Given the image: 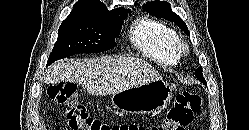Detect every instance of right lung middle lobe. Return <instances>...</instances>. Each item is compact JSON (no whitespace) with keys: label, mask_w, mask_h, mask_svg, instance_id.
I'll list each match as a JSON object with an SVG mask.
<instances>
[{"label":"right lung middle lobe","mask_w":249,"mask_h":130,"mask_svg":"<svg viewBox=\"0 0 249 130\" xmlns=\"http://www.w3.org/2000/svg\"><path fill=\"white\" fill-rule=\"evenodd\" d=\"M129 12L122 7L108 11L105 6L93 12L72 11L61 23L47 65L78 53H98L115 47V38Z\"/></svg>","instance_id":"dd1d6c3e"}]
</instances>
